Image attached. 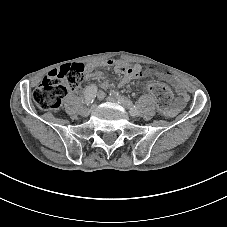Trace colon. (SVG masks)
<instances>
[{
  "label": "colon",
  "mask_w": 227,
  "mask_h": 227,
  "mask_svg": "<svg viewBox=\"0 0 227 227\" xmlns=\"http://www.w3.org/2000/svg\"><path fill=\"white\" fill-rule=\"evenodd\" d=\"M152 73L151 68L143 66L141 76ZM84 78L82 64H65L50 71L33 91V99L42 110H55L60 107L63 98L69 91L77 90ZM154 95L160 110H167L173 101L171 90L160 83H150L148 86Z\"/></svg>",
  "instance_id": "colon-1"
}]
</instances>
